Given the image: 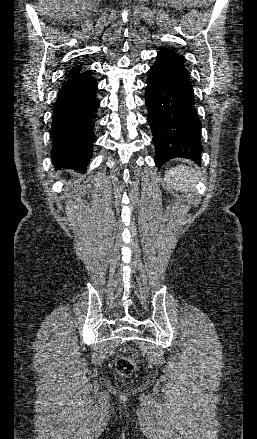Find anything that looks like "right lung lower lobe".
<instances>
[{
    "instance_id": "right-lung-lower-lobe-1",
    "label": "right lung lower lobe",
    "mask_w": 257,
    "mask_h": 439,
    "mask_svg": "<svg viewBox=\"0 0 257 439\" xmlns=\"http://www.w3.org/2000/svg\"><path fill=\"white\" fill-rule=\"evenodd\" d=\"M97 82L91 71L78 73L62 85L54 108L51 137L56 168L84 172L96 141Z\"/></svg>"
}]
</instances>
